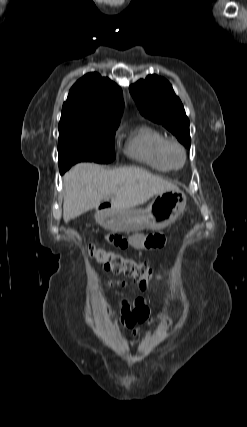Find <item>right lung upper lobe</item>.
<instances>
[{"label": "right lung upper lobe", "mask_w": 247, "mask_h": 427, "mask_svg": "<svg viewBox=\"0 0 247 427\" xmlns=\"http://www.w3.org/2000/svg\"><path fill=\"white\" fill-rule=\"evenodd\" d=\"M122 110V90L117 84L98 73H88L70 89L61 116H76L103 125H119Z\"/></svg>", "instance_id": "right-lung-upper-lobe-1"}]
</instances>
